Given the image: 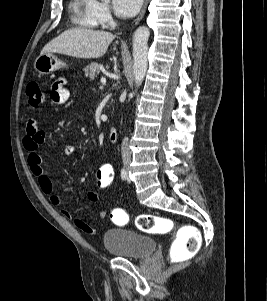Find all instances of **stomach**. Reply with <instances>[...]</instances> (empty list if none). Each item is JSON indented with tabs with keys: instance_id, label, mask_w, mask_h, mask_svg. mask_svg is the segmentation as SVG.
<instances>
[{
	"instance_id": "obj_1",
	"label": "stomach",
	"mask_w": 267,
	"mask_h": 301,
	"mask_svg": "<svg viewBox=\"0 0 267 301\" xmlns=\"http://www.w3.org/2000/svg\"><path fill=\"white\" fill-rule=\"evenodd\" d=\"M65 66L66 64L53 55V53L41 54L34 62V68L40 74H50Z\"/></svg>"
}]
</instances>
